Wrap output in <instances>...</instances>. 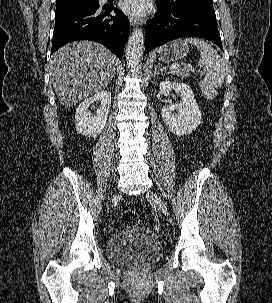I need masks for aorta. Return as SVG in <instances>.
Segmentation results:
<instances>
[{"instance_id": "obj_1", "label": "aorta", "mask_w": 272, "mask_h": 303, "mask_svg": "<svg viewBox=\"0 0 272 303\" xmlns=\"http://www.w3.org/2000/svg\"><path fill=\"white\" fill-rule=\"evenodd\" d=\"M144 52V33L141 28L133 30L126 45V62L132 74H138L142 67Z\"/></svg>"}]
</instances>
